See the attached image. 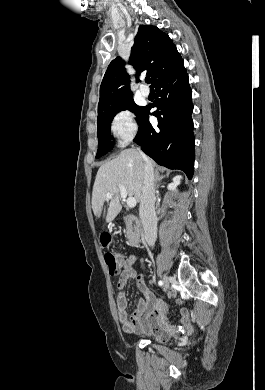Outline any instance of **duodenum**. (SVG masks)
<instances>
[{
	"mask_svg": "<svg viewBox=\"0 0 265 390\" xmlns=\"http://www.w3.org/2000/svg\"><path fill=\"white\" fill-rule=\"evenodd\" d=\"M124 222L127 229V240L128 244L132 247L138 246L141 242V230L140 220L134 215H127L124 218Z\"/></svg>",
	"mask_w": 265,
	"mask_h": 390,
	"instance_id": "duodenum-1",
	"label": "duodenum"
}]
</instances>
